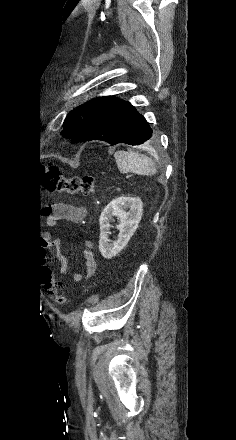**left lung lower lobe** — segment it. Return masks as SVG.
Here are the masks:
<instances>
[{
    "mask_svg": "<svg viewBox=\"0 0 236 440\" xmlns=\"http://www.w3.org/2000/svg\"><path fill=\"white\" fill-rule=\"evenodd\" d=\"M91 140H102L111 145H141L155 142L156 135L130 103L115 98L82 126L71 143Z\"/></svg>",
    "mask_w": 236,
    "mask_h": 440,
    "instance_id": "1",
    "label": "left lung lower lobe"
}]
</instances>
